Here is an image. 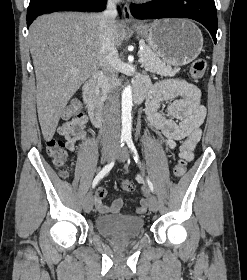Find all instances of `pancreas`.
Returning a JSON list of instances; mask_svg holds the SVG:
<instances>
[{
	"label": "pancreas",
	"instance_id": "cf45deb5",
	"mask_svg": "<svg viewBox=\"0 0 247 280\" xmlns=\"http://www.w3.org/2000/svg\"><path fill=\"white\" fill-rule=\"evenodd\" d=\"M141 45L143 46V50L141 51V53L142 57L144 58L142 67H144L146 71L156 73L161 76H174L179 71V68L173 69L170 65H166L164 61L157 57L155 52L152 51V49L149 46L145 45L142 42ZM106 87V84H104V87H102L101 94L103 96L106 93Z\"/></svg>",
	"mask_w": 247,
	"mask_h": 280
}]
</instances>
